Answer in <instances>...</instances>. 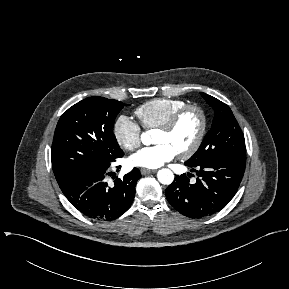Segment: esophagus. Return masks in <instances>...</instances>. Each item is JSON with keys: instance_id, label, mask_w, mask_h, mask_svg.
Listing matches in <instances>:
<instances>
[{"instance_id": "obj_1", "label": "esophagus", "mask_w": 289, "mask_h": 289, "mask_svg": "<svg viewBox=\"0 0 289 289\" xmlns=\"http://www.w3.org/2000/svg\"><path fill=\"white\" fill-rule=\"evenodd\" d=\"M140 172H141V174L146 175V174L154 173V172H156V170L147 169V168H141Z\"/></svg>"}]
</instances>
